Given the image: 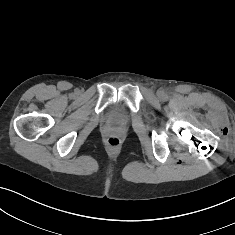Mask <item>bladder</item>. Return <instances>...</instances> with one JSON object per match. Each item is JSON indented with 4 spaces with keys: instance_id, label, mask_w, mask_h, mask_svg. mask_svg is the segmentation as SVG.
Segmentation results:
<instances>
[{
    "instance_id": "31cf9c89",
    "label": "bladder",
    "mask_w": 235,
    "mask_h": 235,
    "mask_svg": "<svg viewBox=\"0 0 235 235\" xmlns=\"http://www.w3.org/2000/svg\"><path fill=\"white\" fill-rule=\"evenodd\" d=\"M125 115V110L121 104H112L108 109L107 116L108 119L112 122H118L123 119Z\"/></svg>"
}]
</instances>
